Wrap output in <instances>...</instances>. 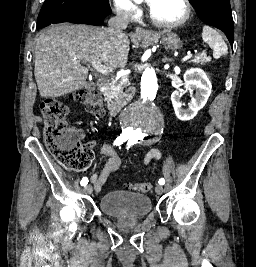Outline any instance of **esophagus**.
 Listing matches in <instances>:
<instances>
[{"instance_id": "esophagus-1", "label": "esophagus", "mask_w": 256, "mask_h": 267, "mask_svg": "<svg viewBox=\"0 0 256 267\" xmlns=\"http://www.w3.org/2000/svg\"><path fill=\"white\" fill-rule=\"evenodd\" d=\"M135 35L136 36H149V37L154 36V34H152L151 32H148L147 30H144L141 27H136Z\"/></svg>"}]
</instances>
